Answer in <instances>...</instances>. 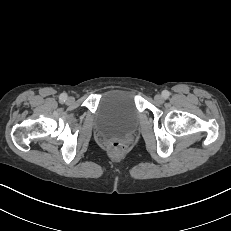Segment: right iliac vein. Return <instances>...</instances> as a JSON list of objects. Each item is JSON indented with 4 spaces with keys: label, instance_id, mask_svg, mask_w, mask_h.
Segmentation results:
<instances>
[{
    "label": "right iliac vein",
    "instance_id": "1",
    "mask_svg": "<svg viewBox=\"0 0 231 231\" xmlns=\"http://www.w3.org/2000/svg\"><path fill=\"white\" fill-rule=\"evenodd\" d=\"M74 101V99L72 97L68 98V102L72 103Z\"/></svg>",
    "mask_w": 231,
    "mask_h": 231
}]
</instances>
